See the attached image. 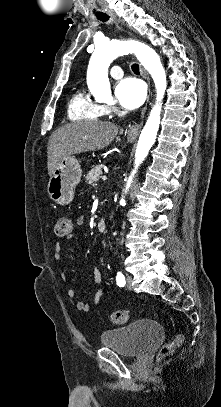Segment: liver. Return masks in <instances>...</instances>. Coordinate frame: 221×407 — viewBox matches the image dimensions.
I'll use <instances>...</instances> for the list:
<instances>
[{
  "label": "liver",
  "mask_w": 221,
  "mask_h": 407,
  "mask_svg": "<svg viewBox=\"0 0 221 407\" xmlns=\"http://www.w3.org/2000/svg\"><path fill=\"white\" fill-rule=\"evenodd\" d=\"M118 130L116 124L102 121H78L56 129L47 146L49 176L68 156L104 149L114 140Z\"/></svg>",
  "instance_id": "obj_1"
}]
</instances>
